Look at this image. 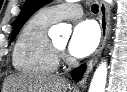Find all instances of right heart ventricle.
I'll return each mask as SVG.
<instances>
[{
    "instance_id": "e07e8e85",
    "label": "right heart ventricle",
    "mask_w": 127,
    "mask_h": 92,
    "mask_svg": "<svg viewBox=\"0 0 127 92\" xmlns=\"http://www.w3.org/2000/svg\"><path fill=\"white\" fill-rule=\"evenodd\" d=\"M55 22L46 10H41L25 23L13 50V66L18 72L38 76L57 70L58 55L48 36Z\"/></svg>"
}]
</instances>
